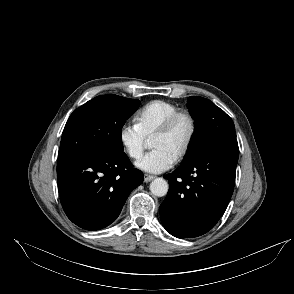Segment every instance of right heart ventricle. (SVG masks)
I'll return each mask as SVG.
<instances>
[{"mask_svg":"<svg viewBox=\"0 0 294 294\" xmlns=\"http://www.w3.org/2000/svg\"><path fill=\"white\" fill-rule=\"evenodd\" d=\"M178 106L164 100H153L144 105L136 114V124L142 133L150 138L159 126L174 112Z\"/></svg>","mask_w":294,"mask_h":294,"instance_id":"right-heart-ventricle-1","label":"right heart ventricle"}]
</instances>
